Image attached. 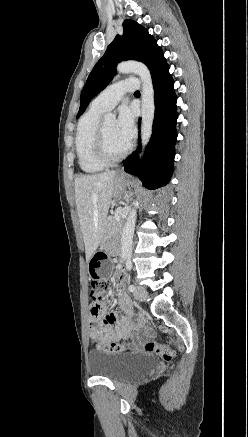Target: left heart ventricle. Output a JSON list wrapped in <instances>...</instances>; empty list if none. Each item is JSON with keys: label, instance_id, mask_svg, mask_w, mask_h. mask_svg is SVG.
<instances>
[{"label": "left heart ventricle", "instance_id": "obj_1", "mask_svg": "<svg viewBox=\"0 0 248 437\" xmlns=\"http://www.w3.org/2000/svg\"><path fill=\"white\" fill-rule=\"evenodd\" d=\"M104 131H105L107 150L111 155L119 154L129 144L119 137L116 131L115 120L111 119V120L104 121Z\"/></svg>", "mask_w": 248, "mask_h": 437}]
</instances>
